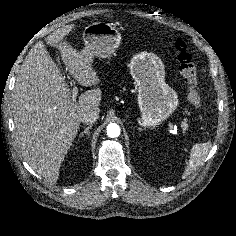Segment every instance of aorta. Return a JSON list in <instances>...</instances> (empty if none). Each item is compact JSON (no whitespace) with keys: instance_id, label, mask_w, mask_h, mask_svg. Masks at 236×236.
I'll return each mask as SVG.
<instances>
[{"instance_id":"aorta-1","label":"aorta","mask_w":236,"mask_h":236,"mask_svg":"<svg viewBox=\"0 0 236 236\" xmlns=\"http://www.w3.org/2000/svg\"><path fill=\"white\" fill-rule=\"evenodd\" d=\"M107 135L110 138L118 137L120 135V127H119V125H117L116 123H110L107 126Z\"/></svg>"}]
</instances>
